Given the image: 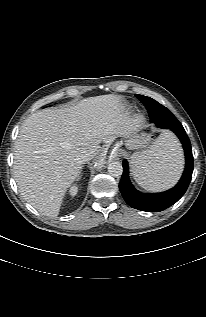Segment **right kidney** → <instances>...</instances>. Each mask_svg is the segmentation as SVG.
<instances>
[{
	"label": "right kidney",
	"instance_id": "ca27d5eb",
	"mask_svg": "<svg viewBox=\"0 0 206 317\" xmlns=\"http://www.w3.org/2000/svg\"><path fill=\"white\" fill-rule=\"evenodd\" d=\"M70 195L71 196H75L76 194H77V192H78V187L77 186H72L71 188H70Z\"/></svg>",
	"mask_w": 206,
	"mask_h": 317
}]
</instances>
